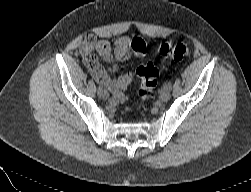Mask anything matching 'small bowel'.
Instances as JSON below:
<instances>
[{
	"label": "small bowel",
	"instance_id": "obj_1",
	"mask_svg": "<svg viewBox=\"0 0 251 192\" xmlns=\"http://www.w3.org/2000/svg\"><path fill=\"white\" fill-rule=\"evenodd\" d=\"M146 52V43L139 38L129 39L122 36L111 45L105 39H99L93 35H87L80 48L84 64L89 69L96 82L108 88L117 101L126 99L123 91L132 82L131 74L115 76L117 69L115 61H124L132 55H143ZM95 53H98L108 64L106 69L101 66Z\"/></svg>",
	"mask_w": 251,
	"mask_h": 192
}]
</instances>
